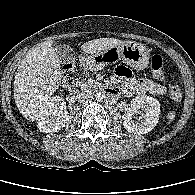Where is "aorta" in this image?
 <instances>
[{
  "label": "aorta",
  "instance_id": "762f6f07",
  "mask_svg": "<svg viewBox=\"0 0 195 195\" xmlns=\"http://www.w3.org/2000/svg\"><path fill=\"white\" fill-rule=\"evenodd\" d=\"M95 98L98 101H102L105 98V92L104 91H98V92H96Z\"/></svg>",
  "mask_w": 195,
  "mask_h": 195
}]
</instances>
